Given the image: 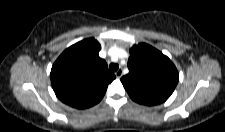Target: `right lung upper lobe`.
Returning a JSON list of instances; mask_svg holds the SVG:
<instances>
[{"mask_svg": "<svg viewBox=\"0 0 225 132\" xmlns=\"http://www.w3.org/2000/svg\"><path fill=\"white\" fill-rule=\"evenodd\" d=\"M94 38L84 39L67 48L52 66L50 77L56 96L65 104L84 109L103 98L116 76L108 71Z\"/></svg>", "mask_w": 225, "mask_h": 132, "instance_id": "obj_1", "label": "right lung upper lobe"}]
</instances>
